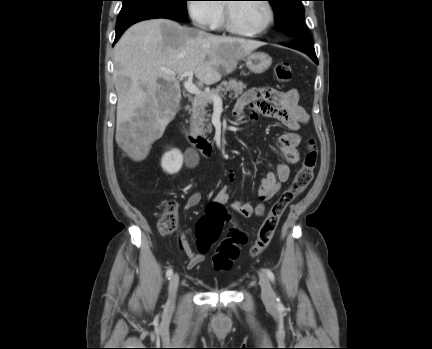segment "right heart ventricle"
<instances>
[{
  "mask_svg": "<svg viewBox=\"0 0 432 349\" xmlns=\"http://www.w3.org/2000/svg\"><path fill=\"white\" fill-rule=\"evenodd\" d=\"M224 26V8L221 6V13L216 21L215 28H222Z\"/></svg>",
  "mask_w": 432,
  "mask_h": 349,
  "instance_id": "right-heart-ventricle-1",
  "label": "right heart ventricle"
}]
</instances>
